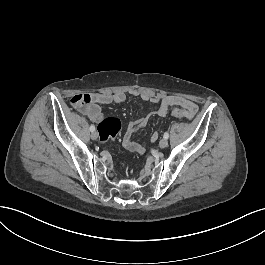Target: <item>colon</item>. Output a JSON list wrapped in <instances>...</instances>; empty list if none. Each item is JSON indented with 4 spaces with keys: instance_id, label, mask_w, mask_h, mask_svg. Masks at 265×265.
<instances>
[{
    "instance_id": "5ec220e1",
    "label": "colon",
    "mask_w": 265,
    "mask_h": 265,
    "mask_svg": "<svg viewBox=\"0 0 265 265\" xmlns=\"http://www.w3.org/2000/svg\"><path fill=\"white\" fill-rule=\"evenodd\" d=\"M91 99L89 95L85 93L75 94L71 96L69 103L71 107L78 109V108H85L89 106ZM173 115L176 118L182 119L183 113L180 108H173ZM121 131V121L116 117H107L103 119L98 125V135L99 141L102 143H106L111 139H114L118 133Z\"/></svg>"
}]
</instances>
